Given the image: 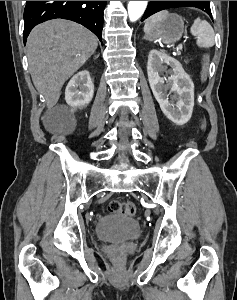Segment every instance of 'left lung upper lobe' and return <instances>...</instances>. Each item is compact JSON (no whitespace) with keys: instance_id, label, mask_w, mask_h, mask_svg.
<instances>
[{"instance_id":"left-lung-upper-lobe-1","label":"left lung upper lobe","mask_w":237,"mask_h":300,"mask_svg":"<svg viewBox=\"0 0 237 300\" xmlns=\"http://www.w3.org/2000/svg\"><path fill=\"white\" fill-rule=\"evenodd\" d=\"M178 7H196L206 12L209 16L212 15L209 1H150L141 20L143 21L161 10Z\"/></svg>"}]
</instances>
